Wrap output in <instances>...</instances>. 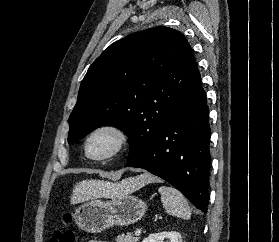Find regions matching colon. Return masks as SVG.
<instances>
[{"instance_id": "obj_1", "label": "colon", "mask_w": 279, "mask_h": 242, "mask_svg": "<svg viewBox=\"0 0 279 242\" xmlns=\"http://www.w3.org/2000/svg\"><path fill=\"white\" fill-rule=\"evenodd\" d=\"M63 221L66 225L72 221V216L66 213L63 217ZM49 242H75V234L70 229L57 230L49 239Z\"/></svg>"}]
</instances>
